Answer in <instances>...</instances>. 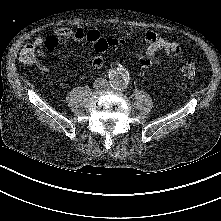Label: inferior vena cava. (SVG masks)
Returning <instances> with one entry per match:
<instances>
[{"label":"inferior vena cava","mask_w":221,"mask_h":221,"mask_svg":"<svg viewBox=\"0 0 221 221\" xmlns=\"http://www.w3.org/2000/svg\"><path fill=\"white\" fill-rule=\"evenodd\" d=\"M100 80H101V78H100ZM103 80V79H102ZM103 81H105V80H103ZM104 84L106 83V82H103Z\"/></svg>","instance_id":"obj_1"}]
</instances>
